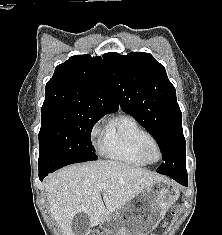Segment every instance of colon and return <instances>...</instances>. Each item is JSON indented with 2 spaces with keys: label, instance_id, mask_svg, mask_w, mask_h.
I'll return each mask as SVG.
<instances>
[{
  "label": "colon",
  "instance_id": "colon-1",
  "mask_svg": "<svg viewBox=\"0 0 222 235\" xmlns=\"http://www.w3.org/2000/svg\"><path fill=\"white\" fill-rule=\"evenodd\" d=\"M89 235H107V234L103 232H92Z\"/></svg>",
  "mask_w": 222,
  "mask_h": 235
}]
</instances>
